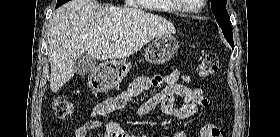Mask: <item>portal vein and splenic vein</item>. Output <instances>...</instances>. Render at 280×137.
<instances>
[{"label": "portal vein and splenic vein", "instance_id": "18ae733b", "mask_svg": "<svg viewBox=\"0 0 280 137\" xmlns=\"http://www.w3.org/2000/svg\"><path fill=\"white\" fill-rule=\"evenodd\" d=\"M118 39V36L117 35H114V36H112V38H111V40H113V41H115V40H117Z\"/></svg>", "mask_w": 280, "mask_h": 137}]
</instances>
